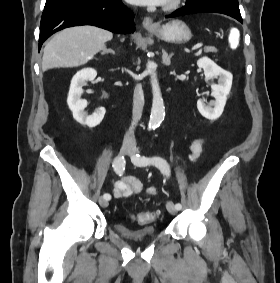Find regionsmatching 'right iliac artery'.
Here are the masks:
<instances>
[{
    "instance_id": "82829eb1",
    "label": "right iliac artery",
    "mask_w": 280,
    "mask_h": 283,
    "mask_svg": "<svg viewBox=\"0 0 280 283\" xmlns=\"http://www.w3.org/2000/svg\"><path fill=\"white\" fill-rule=\"evenodd\" d=\"M125 165H126V161H125L124 157H116L114 159L112 166H113V169L116 172V174H118L119 176H122L124 171H125ZM103 197L107 200L111 199V195L108 194V193H105L103 195Z\"/></svg>"
}]
</instances>
